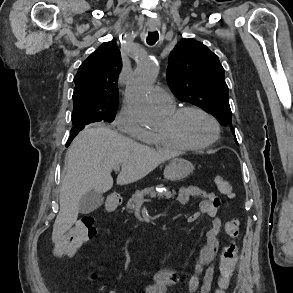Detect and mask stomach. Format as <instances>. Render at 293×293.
I'll return each mask as SVG.
<instances>
[{
    "mask_svg": "<svg viewBox=\"0 0 293 293\" xmlns=\"http://www.w3.org/2000/svg\"><path fill=\"white\" fill-rule=\"evenodd\" d=\"M194 170L193 164L183 158H175L165 167L164 177L169 181H181Z\"/></svg>",
    "mask_w": 293,
    "mask_h": 293,
    "instance_id": "0dacf381",
    "label": "stomach"
}]
</instances>
